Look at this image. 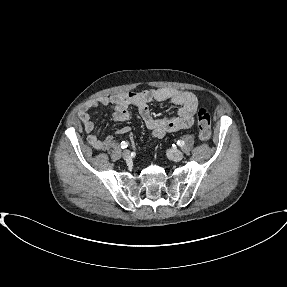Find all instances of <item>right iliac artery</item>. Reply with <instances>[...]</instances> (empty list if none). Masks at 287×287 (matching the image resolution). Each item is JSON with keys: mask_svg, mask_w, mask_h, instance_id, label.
Wrapping results in <instances>:
<instances>
[{"mask_svg": "<svg viewBox=\"0 0 287 287\" xmlns=\"http://www.w3.org/2000/svg\"><path fill=\"white\" fill-rule=\"evenodd\" d=\"M127 146H128V142H125V141L121 142V148L122 149L127 148Z\"/></svg>", "mask_w": 287, "mask_h": 287, "instance_id": "82829eb1", "label": "right iliac artery"}]
</instances>
